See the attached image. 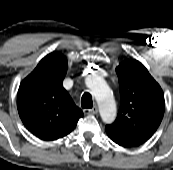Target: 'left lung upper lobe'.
<instances>
[{
  "mask_svg": "<svg viewBox=\"0 0 173 170\" xmlns=\"http://www.w3.org/2000/svg\"><path fill=\"white\" fill-rule=\"evenodd\" d=\"M116 73L120 85V109L116 120L105 130L118 145L137 147L159 127L165 109L164 94L145 66L137 60L122 62Z\"/></svg>",
  "mask_w": 173,
  "mask_h": 170,
  "instance_id": "obj_1",
  "label": "left lung upper lobe"
}]
</instances>
